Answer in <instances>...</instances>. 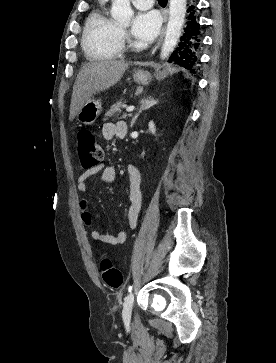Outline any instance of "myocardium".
<instances>
[{
    "instance_id": "myocardium-1",
    "label": "myocardium",
    "mask_w": 276,
    "mask_h": 363,
    "mask_svg": "<svg viewBox=\"0 0 276 363\" xmlns=\"http://www.w3.org/2000/svg\"><path fill=\"white\" fill-rule=\"evenodd\" d=\"M122 40H123V34H122ZM123 44H124V40H123Z\"/></svg>"
}]
</instances>
